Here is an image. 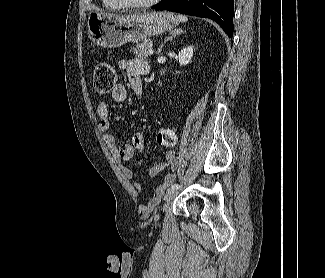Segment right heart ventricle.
<instances>
[{"label": "right heart ventricle", "instance_id": "e07e8e85", "mask_svg": "<svg viewBox=\"0 0 325 278\" xmlns=\"http://www.w3.org/2000/svg\"><path fill=\"white\" fill-rule=\"evenodd\" d=\"M102 5L107 9V10H120L122 7L117 4L114 0H101Z\"/></svg>", "mask_w": 325, "mask_h": 278}]
</instances>
